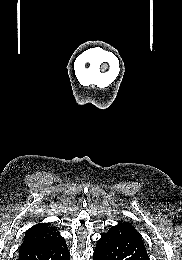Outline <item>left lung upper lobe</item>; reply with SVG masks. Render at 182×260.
I'll use <instances>...</instances> for the list:
<instances>
[{"label":"left lung upper lobe","mask_w":182,"mask_h":260,"mask_svg":"<svg viewBox=\"0 0 182 260\" xmlns=\"http://www.w3.org/2000/svg\"><path fill=\"white\" fill-rule=\"evenodd\" d=\"M118 226L126 227V228H129V229L135 230V228L132 227L129 223H125V222L119 223ZM135 231H136V230H135Z\"/></svg>","instance_id":"5c2ea615"}]
</instances>
